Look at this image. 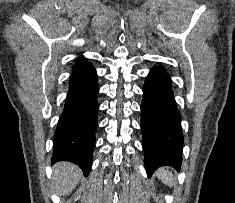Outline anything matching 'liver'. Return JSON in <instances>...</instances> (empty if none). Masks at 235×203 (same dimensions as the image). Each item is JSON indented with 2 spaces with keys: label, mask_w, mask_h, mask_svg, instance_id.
<instances>
[{
  "label": "liver",
  "mask_w": 235,
  "mask_h": 203,
  "mask_svg": "<svg viewBox=\"0 0 235 203\" xmlns=\"http://www.w3.org/2000/svg\"><path fill=\"white\" fill-rule=\"evenodd\" d=\"M81 170L69 162H61L53 168V180L59 195H68L78 184L81 178Z\"/></svg>",
  "instance_id": "liver-1"
}]
</instances>
